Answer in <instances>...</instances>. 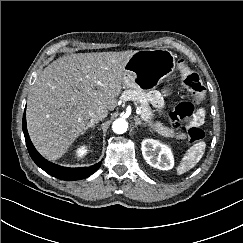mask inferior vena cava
I'll return each instance as SVG.
<instances>
[{
	"mask_svg": "<svg viewBox=\"0 0 243 243\" xmlns=\"http://www.w3.org/2000/svg\"><path fill=\"white\" fill-rule=\"evenodd\" d=\"M108 115V110L102 106L93 108L89 111V116L93 121L103 120Z\"/></svg>",
	"mask_w": 243,
	"mask_h": 243,
	"instance_id": "obj_1",
	"label": "inferior vena cava"
}]
</instances>
